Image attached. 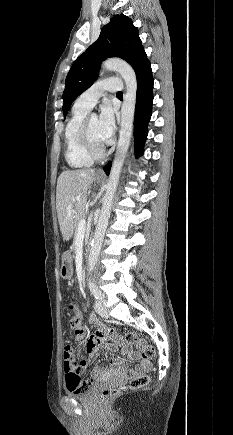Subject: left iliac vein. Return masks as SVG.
I'll use <instances>...</instances> for the list:
<instances>
[{
    "mask_svg": "<svg viewBox=\"0 0 233 435\" xmlns=\"http://www.w3.org/2000/svg\"><path fill=\"white\" fill-rule=\"evenodd\" d=\"M95 308L97 313L102 317V318H107L108 317V311L106 309L105 306V301L98 299L95 302Z\"/></svg>",
    "mask_w": 233,
    "mask_h": 435,
    "instance_id": "obj_1",
    "label": "left iliac vein"
}]
</instances>
